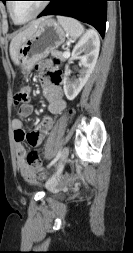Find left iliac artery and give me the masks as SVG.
Instances as JSON below:
<instances>
[{
    "instance_id": "obj_1",
    "label": "left iliac artery",
    "mask_w": 133,
    "mask_h": 253,
    "mask_svg": "<svg viewBox=\"0 0 133 253\" xmlns=\"http://www.w3.org/2000/svg\"><path fill=\"white\" fill-rule=\"evenodd\" d=\"M61 152H59L57 154V156L49 163V165L47 166V168L51 167L52 165H54L60 158Z\"/></svg>"
}]
</instances>
